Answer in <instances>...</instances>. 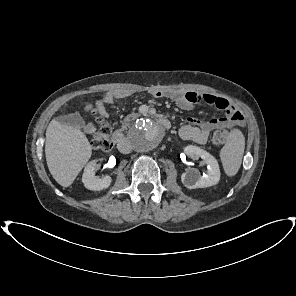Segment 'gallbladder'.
Instances as JSON below:
<instances>
[{"label":"gallbladder","instance_id":"1","mask_svg":"<svg viewBox=\"0 0 296 296\" xmlns=\"http://www.w3.org/2000/svg\"><path fill=\"white\" fill-rule=\"evenodd\" d=\"M58 122L65 126H72L79 128L83 126L84 121L79 113H73L68 115H61L57 118Z\"/></svg>","mask_w":296,"mask_h":296}]
</instances>
